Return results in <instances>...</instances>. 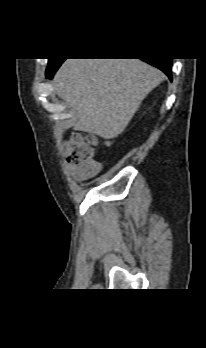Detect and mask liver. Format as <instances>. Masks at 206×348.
Wrapping results in <instances>:
<instances>
[{"instance_id":"1","label":"liver","mask_w":206,"mask_h":348,"mask_svg":"<svg viewBox=\"0 0 206 348\" xmlns=\"http://www.w3.org/2000/svg\"><path fill=\"white\" fill-rule=\"evenodd\" d=\"M164 74L140 59H67L55 91L78 120V131L112 139L121 134Z\"/></svg>"}]
</instances>
